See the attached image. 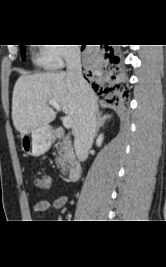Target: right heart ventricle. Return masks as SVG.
Returning <instances> with one entry per match:
<instances>
[{"mask_svg":"<svg viewBox=\"0 0 166 267\" xmlns=\"http://www.w3.org/2000/svg\"><path fill=\"white\" fill-rule=\"evenodd\" d=\"M44 48L39 49L33 54V63L37 66H44L46 65Z\"/></svg>","mask_w":166,"mask_h":267,"instance_id":"obj_1","label":"right heart ventricle"}]
</instances>
